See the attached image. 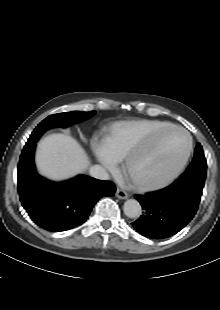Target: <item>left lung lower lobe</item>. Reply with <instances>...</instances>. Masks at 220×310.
Returning a JSON list of instances; mask_svg holds the SVG:
<instances>
[{
	"label": "left lung lower lobe",
	"mask_w": 220,
	"mask_h": 310,
	"mask_svg": "<svg viewBox=\"0 0 220 310\" xmlns=\"http://www.w3.org/2000/svg\"><path fill=\"white\" fill-rule=\"evenodd\" d=\"M204 182L177 179L170 186L135 198L143 214L132 223L141 235L151 239L170 237L184 228L199 206Z\"/></svg>",
	"instance_id": "1"
}]
</instances>
